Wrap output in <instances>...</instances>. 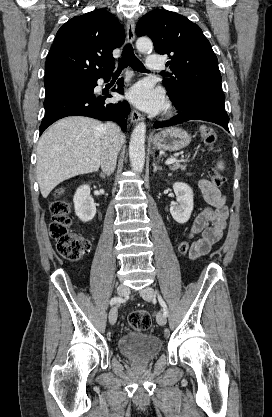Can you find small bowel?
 Returning <instances> with one entry per match:
<instances>
[{"label":"small bowel","mask_w":272,"mask_h":417,"mask_svg":"<svg viewBox=\"0 0 272 417\" xmlns=\"http://www.w3.org/2000/svg\"><path fill=\"white\" fill-rule=\"evenodd\" d=\"M198 188L207 206L195 216L190 225L189 236H197L189 251L193 259L208 254L222 239L228 218L225 195L207 179L199 180Z\"/></svg>","instance_id":"small-bowel-1"}]
</instances>
